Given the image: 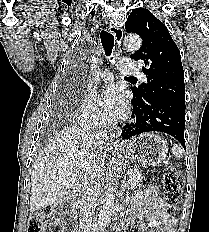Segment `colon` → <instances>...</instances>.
Segmentation results:
<instances>
[{
	"label": "colon",
	"instance_id": "obj_1",
	"mask_svg": "<svg viewBox=\"0 0 209 232\" xmlns=\"http://www.w3.org/2000/svg\"><path fill=\"white\" fill-rule=\"evenodd\" d=\"M182 192L181 176L175 168H170L163 177V193L168 210L174 212ZM54 219V210L50 207L31 214L27 232H45L46 226Z\"/></svg>",
	"mask_w": 209,
	"mask_h": 232
}]
</instances>
